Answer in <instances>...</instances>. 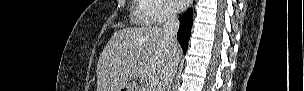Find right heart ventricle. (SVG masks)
<instances>
[{
  "label": "right heart ventricle",
  "mask_w": 304,
  "mask_h": 91,
  "mask_svg": "<svg viewBox=\"0 0 304 91\" xmlns=\"http://www.w3.org/2000/svg\"><path fill=\"white\" fill-rule=\"evenodd\" d=\"M137 4H138L137 12L141 14H145L147 7L143 4L142 1H137Z\"/></svg>",
  "instance_id": "e07e8e85"
}]
</instances>
